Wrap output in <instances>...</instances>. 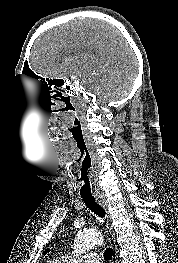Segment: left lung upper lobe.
I'll return each mask as SVG.
<instances>
[{
    "label": "left lung upper lobe",
    "mask_w": 178,
    "mask_h": 263,
    "mask_svg": "<svg viewBox=\"0 0 178 263\" xmlns=\"http://www.w3.org/2000/svg\"><path fill=\"white\" fill-rule=\"evenodd\" d=\"M49 251V248H47L44 252H43V254L44 255H46V253Z\"/></svg>",
    "instance_id": "left-lung-upper-lobe-1"
}]
</instances>
